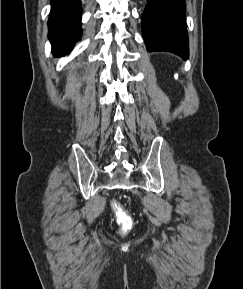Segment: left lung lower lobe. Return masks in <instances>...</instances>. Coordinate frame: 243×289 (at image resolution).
Listing matches in <instances>:
<instances>
[{
    "label": "left lung lower lobe",
    "mask_w": 243,
    "mask_h": 289,
    "mask_svg": "<svg viewBox=\"0 0 243 289\" xmlns=\"http://www.w3.org/2000/svg\"><path fill=\"white\" fill-rule=\"evenodd\" d=\"M185 7V0H148L142 15V32L148 51H170L188 58Z\"/></svg>",
    "instance_id": "1"
}]
</instances>
